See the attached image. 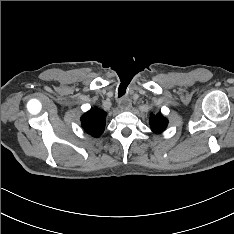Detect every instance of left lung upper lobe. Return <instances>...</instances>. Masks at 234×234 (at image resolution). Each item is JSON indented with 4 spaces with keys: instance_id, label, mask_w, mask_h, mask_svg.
Instances as JSON below:
<instances>
[{
    "instance_id": "left-lung-upper-lobe-1",
    "label": "left lung upper lobe",
    "mask_w": 234,
    "mask_h": 234,
    "mask_svg": "<svg viewBox=\"0 0 234 234\" xmlns=\"http://www.w3.org/2000/svg\"><path fill=\"white\" fill-rule=\"evenodd\" d=\"M167 125L168 120L161 113H158L156 115L151 113L150 127L154 133H161L166 129Z\"/></svg>"
}]
</instances>
